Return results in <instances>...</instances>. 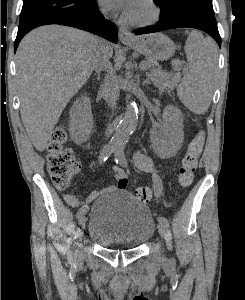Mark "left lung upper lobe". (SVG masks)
<instances>
[{
	"label": "left lung upper lobe",
	"instance_id": "5c2ea615",
	"mask_svg": "<svg viewBox=\"0 0 245 300\" xmlns=\"http://www.w3.org/2000/svg\"><path fill=\"white\" fill-rule=\"evenodd\" d=\"M154 2L160 6V17H165L176 7L181 6L195 7L214 13L211 0H154Z\"/></svg>",
	"mask_w": 245,
	"mask_h": 300
}]
</instances>
